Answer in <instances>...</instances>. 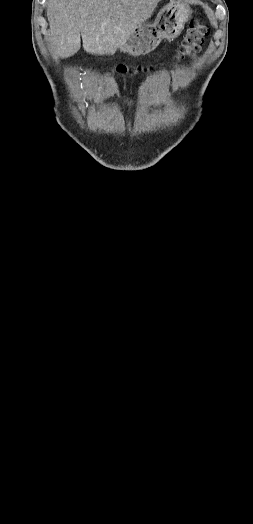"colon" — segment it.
<instances>
[{
	"label": "colon",
	"instance_id": "1",
	"mask_svg": "<svg viewBox=\"0 0 253 524\" xmlns=\"http://www.w3.org/2000/svg\"><path fill=\"white\" fill-rule=\"evenodd\" d=\"M210 27L200 20L193 21L183 36L179 45L178 57H188L195 54L210 35ZM115 70L120 73H127L131 67L126 64H119Z\"/></svg>",
	"mask_w": 253,
	"mask_h": 524
}]
</instances>
